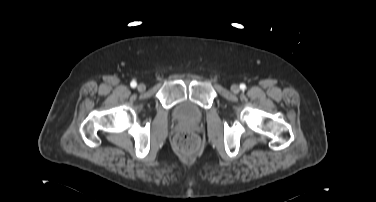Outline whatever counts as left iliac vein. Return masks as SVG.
Masks as SVG:
<instances>
[{"label":"left iliac vein","instance_id":"obj_1","mask_svg":"<svg viewBox=\"0 0 376 202\" xmlns=\"http://www.w3.org/2000/svg\"><path fill=\"white\" fill-rule=\"evenodd\" d=\"M231 91H232L233 93H236V94H237V93L240 91V88H239L238 85L233 84V85L231 86Z\"/></svg>","mask_w":376,"mask_h":202}]
</instances>
